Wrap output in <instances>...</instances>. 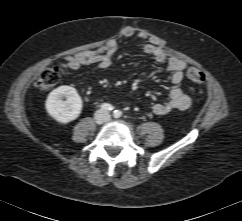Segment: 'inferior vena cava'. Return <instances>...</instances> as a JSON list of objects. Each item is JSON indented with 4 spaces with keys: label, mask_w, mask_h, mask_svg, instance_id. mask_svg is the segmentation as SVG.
<instances>
[{
    "label": "inferior vena cava",
    "mask_w": 242,
    "mask_h": 221,
    "mask_svg": "<svg viewBox=\"0 0 242 221\" xmlns=\"http://www.w3.org/2000/svg\"><path fill=\"white\" fill-rule=\"evenodd\" d=\"M95 116H96V119L101 123L107 122L110 119V115L108 111L99 110L96 112Z\"/></svg>",
    "instance_id": "obj_1"
}]
</instances>
